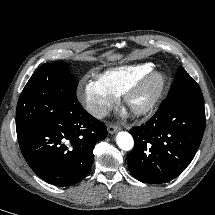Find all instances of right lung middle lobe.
I'll list each match as a JSON object with an SVG mask.
<instances>
[{
	"label": "right lung middle lobe",
	"mask_w": 215,
	"mask_h": 215,
	"mask_svg": "<svg viewBox=\"0 0 215 215\" xmlns=\"http://www.w3.org/2000/svg\"><path fill=\"white\" fill-rule=\"evenodd\" d=\"M78 82L63 62L45 63L24 87L16 109V132L21 136L47 114L76 99Z\"/></svg>",
	"instance_id": "dd1d6c3e"
}]
</instances>
